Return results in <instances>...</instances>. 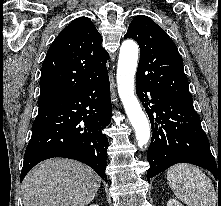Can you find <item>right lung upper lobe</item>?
<instances>
[{
    "label": "right lung upper lobe",
    "instance_id": "1",
    "mask_svg": "<svg viewBox=\"0 0 221 206\" xmlns=\"http://www.w3.org/2000/svg\"><path fill=\"white\" fill-rule=\"evenodd\" d=\"M102 37L87 17L73 20L51 44L41 69L38 106L71 96L108 74Z\"/></svg>",
    "mask_w": 221,
    "mask_h": 206
}]
</instances>
